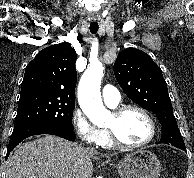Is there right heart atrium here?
<instances>
[{"label": "right heart atrium", "instance_id": "1", "mask_svg": "<svg viewBox=\"0 0 194 178\" xmlns=\"http://www.w3.org/2000/svg\"><path fill=\"white\" fill-rule=\"evenodd\" d=\"M72 127L79 139L88 145H98L102 139V130L95 126L80 110H74L72 114Z\"/></svg>", "mask_w": 194, "mask_h": 178}]
</instances>
